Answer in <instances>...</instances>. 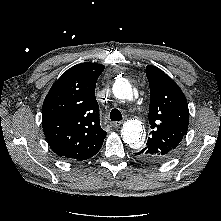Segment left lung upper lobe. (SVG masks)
<instances>
[{
  "label": "left lung upper lobe",
  "mask_w": 221,
  "mask_h": 221,
  "mask_svg": "<svg viewBox=\"0 0 221 221\" xmlns=\"http://www.w3.org/2000/svg\"><path fill=\"white\" fill-rule=\"evenodd\" d=\"M150 86V137L144 149L136 153L142 160L160 163L168 159L187 134L189 110L180 87L162 70L148 65Z\"/></svg>",
  "instance_id": "obj_1"
}]
</instances>
